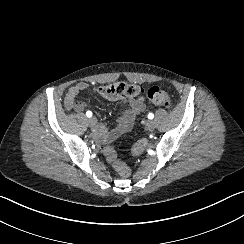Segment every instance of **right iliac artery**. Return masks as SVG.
<instances>
[{
    "instance_id": "1",
    "label": "right iliac artery",
    "mask_w": 244,
    "mask_h": 244,
    "mask_svg": "<svg viewBox=\"0 0 244 244\" xmlns=\"http://www.w3.org/2000/svg\"><path fill=\"white\" fill-rule=\"evenodd\" d=\"M86 116L90 118L92 116V112L91 111H87L86 112Z\"/></svg>"
}]
</instances>
